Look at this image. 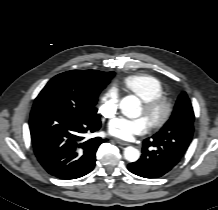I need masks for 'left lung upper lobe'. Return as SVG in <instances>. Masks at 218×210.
Returning a JSON list of instances; mask_svg holds the SVG:
<instances>
[{"label": "left lung upper lobe", "mask_w": 218, "mask_h": 210, "mask_svg": "<svg viewBox=\"0 0 218 210\" xmlns=\"http://www.w3.org/2000/svg\"><path fill=\"white\" fill-rule=\"evenodd\" d=\"M194 118L191 102L187 94L182 92L170 119L158 133L152 136V139L164 142L166 147L187 150L193 136Z\"/></svg>", "instance_id": "1"}]
</instances>
